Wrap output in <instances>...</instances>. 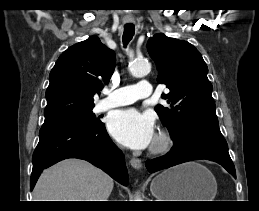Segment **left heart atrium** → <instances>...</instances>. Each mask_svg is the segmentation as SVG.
<instances>
[{"label":"left heart atrium","instance_id":"39dd6f15","mask_svg":"<svg viewBox=\"0 0 259 211\" xmlns=\"http://www.w3.org/2000/svg\"><path fill=\"white\" fill-rule=\"evenodd\" d=\"M110 134L132 149H144L155 139L153 118L134 108L115 111L108 119Z\"/></svg>","mask_w":259,"mask_h":211}]
</instances>
